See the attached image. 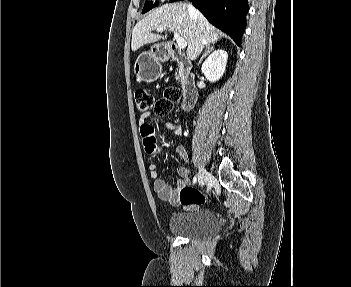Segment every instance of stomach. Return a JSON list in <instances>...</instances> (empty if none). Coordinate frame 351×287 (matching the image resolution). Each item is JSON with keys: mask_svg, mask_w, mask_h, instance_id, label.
Listing matches in <instances>:
<instances>
[{"mask_svg": "<svg viewBox=\"0 0 351 287\" xmlns=\"http://www.w3.org/2000/svg\"><path fill=\"white\" fill-rule=\"evenodd\" d=\"M167 57L168 54L161 46L155 45L150 51L142 52L138 56L134 64V73L140 81L154 82L162 72L161 61Z\"/></svg>", "mask_w": 351, "mask_h": 287, "instance_id": "1", "label": "stomach"}]
</instances>
